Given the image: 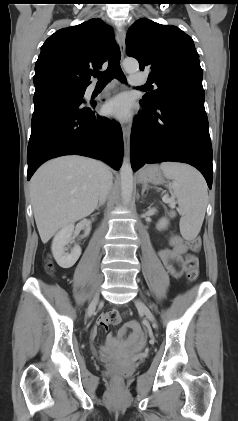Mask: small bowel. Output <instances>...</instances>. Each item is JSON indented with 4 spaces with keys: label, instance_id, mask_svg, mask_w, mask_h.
<instances>
[{
    "label": "small bowel",
    "instance_id": "1",
    "mask_svg": "<svg viewBox=\"0 0 238 421\" xmlns=\"http://www.w3.org/2000/svg\"><path fill=\"white\" fill-rule=\"evenodd\" d=\"M186 252V247L182 242V239L178 235H174L170 239V248L161 249L159 251V257L163 262L166 269L174 276L181 274L182 268V255ZM111 314L118 315V322H120V316L115 309H111L106 313L101 314L96 322V325L93 328L92 334L96 336L99 329H107L110 324H112L110 316ZM131 329L132 334L130 340L132 342L141 341V329L139 324L136 321H130L126 325ZM109 343H115V339L111 336L108 337Z\"/></svg>",
    "mask_w": 238,
    "mask_h": 421
}]
</instances>
